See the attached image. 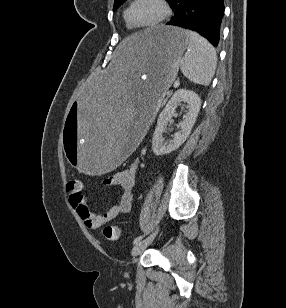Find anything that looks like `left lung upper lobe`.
I'll list each match as a JSON object with an SVG mask.
<instances>
[{"instance_id": "5c2ea615", "label": "left lung upper lobe", "mask_w": 286, "mask_h": 308, "mask_svg": "<svg viewBox=\"0 0 286 308\" xmlns=\"http://www.w3.org/2000/svg\"><path fill=\"white\" fill-rule=\"evenodd\" d=\"M126 0H115L113 10L115 11L122 3H124ZM169 2V5L172 0H167Z\"/></svg>"}]
</instances>
